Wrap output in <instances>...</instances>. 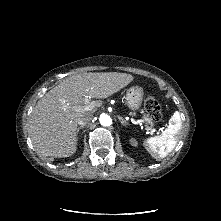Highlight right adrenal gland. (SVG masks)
Masks as SVG:
<instances>
[{
    "label": "right adrenal gland",
    "instance_id": "1",
    "mask_svg": "<svg viewBox=\"0 0 221 221\" xmlns=\"http://www.w3.org/2000/svg\"><path fill=\"white\" fill-rule=\"evenodd\" d=\"M84 127H85V125L79 126V127L77 128V133H79L80 129H83Z\"/></svg>",
    "mask_w": 221,
    "mask_h": 221
}]
</instances>
